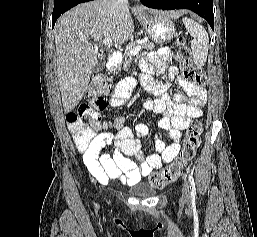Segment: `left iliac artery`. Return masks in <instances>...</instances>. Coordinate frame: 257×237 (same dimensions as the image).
I'll list each match as a JSON object with an SVG mask.
<instances>
[{
	"mask_svg": "<svg viewBox=\"0 0 257 237\" xmlns=\"http://www.w3.org/2000/svg\"><path fill=\"white\" fill-rule=\"evenodd\" d=\"M188 179H189V183H190V190H191V195L193 197H195L196 195V188H195V182H194V179L192 177V175H188Z\"/></svg>",
	"mask_w": 257,
	"mask_h": 237,
	"instance_id": "obj_1",
	"label": "left iliac artery"
}]
</instances>
